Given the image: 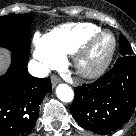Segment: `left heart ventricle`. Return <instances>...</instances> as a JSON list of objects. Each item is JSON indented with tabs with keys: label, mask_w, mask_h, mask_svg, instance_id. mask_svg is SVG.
<instances>
[{
	"label": "left heart ventricle",
	"mask_w": 136,
	"mask_h": 136,
	"mask_svg": "<svg viewBox=\"0 0 136 136\" xmlns=\"http://www.w3.org/2000/svg\"><path fill=\"white\" fill-rule=\"evenodd\" d=\"M111 46L110 36L101 37L92 47L84 60V66L92 67L99 63L107 54Z\"/></svg>",
	"instance_id": "left-heart-ventricle-1"
}]
</instances>
